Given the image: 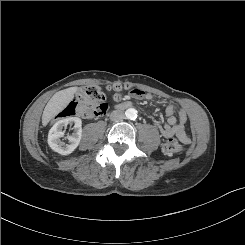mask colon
Listing matches in <instances>:
<instances>
[{
	"label": "colon",
	"instance_id": "1",
	"mask_svg": "<svg viewBox=\"0 0 245 245\" xmlns=\"http://www.w3.org/2000/svg\"><path fill=\"white\" fill-rule=\"evenodd\" d=\"M113 92L115 100H120L126 87L121 84H114L109 87ZM107 111L106 97L101 87L87 85L81 87L75 98L71 100L65 108L56 116V119H63L72 116L84 118H96L102 116ZM163 152L167 155L182 153L184 146L175 138H169L163 144Z\"/></svg>",
	"mask_w": 245,
	"mask_h": 245
}]
</instances>
